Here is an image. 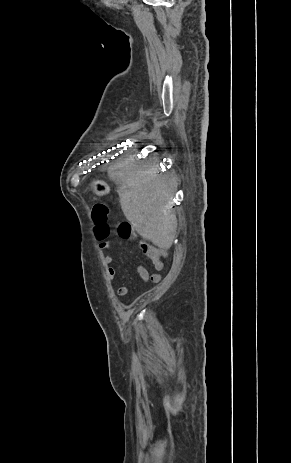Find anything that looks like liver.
<instances>
[{
    "instance_id": "obj_1",
    "label": "liver",
    "mask_w": 291,
    "mask_h": 463,
    "mask_svg": "<svg viewBox=\"0 0 291 463\" xmlns=\"http://www.w3.org/2000/svg\"><path fill=\"white\" fill-rule=\"evenodd\" d=\"M157 164L138 165L127 158L108 171L120 184L118 194L122 211L138 234L162 249L172 246L177 218L172 213L174 186L161 175Z\"/></svg>"
}]
</instances>
